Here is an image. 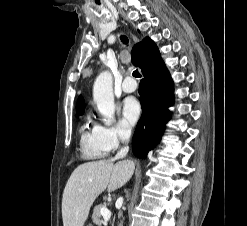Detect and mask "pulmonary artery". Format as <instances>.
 Masks as SVG:
<instances>
[{
  "label": "pulmonary artery",
  "mask_w": 247,
  "mask_h": 226,
  "mask_svg": "<svg viewBox=\"0 0 247 226\" xmlns=\"http://www.w3.org/2000/svg\"><path fill=\"white\" fill-rule=\"evenodd\" d=\"M136 88L137 83L130 77H126L121 85V89L124 93H132Z\"/></svg>",
  "instance_id": "pulmonary-artery-1"
}]
</instances>
